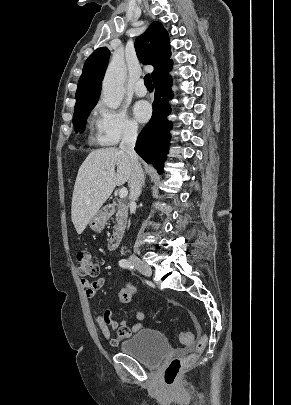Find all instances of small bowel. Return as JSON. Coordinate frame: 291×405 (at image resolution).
<instances>
[{"instance_id":"1","label":"small bowel","mask_w":291,"mask_h":405,"mask_svg":"<svg viewBox=\"0 0 291 405\" xmlns=\"http://www.w3.org/2000/svg\"><path fill=\"white\" fill-rule=\"evenodd\" d=\"M105 283V277H100L94 281H90L86 278L81 279V285L84 287L86 297L89 299H94L97 292L105 285ZM136 318L138 323L129 327L126 320H122L121 322L116 321L113 318V311L107 309L96 316V322L104 338H106L112 346H117L121 341L130 337L133 333L142 328L141 322L144 320L145 314L143 312H138ZM191 318L196 328H199L195 316L191 314ZM110 329L116 331V336H112Z\"/></svg>"}]
</instances>
